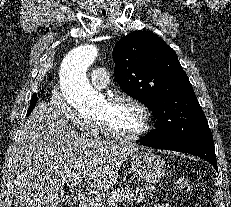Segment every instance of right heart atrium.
Instances as JSON below:
<instances>
[{
    "label": "right heart atrium",
    "mask_w": 231,
    "mask_h": 207,
    "mask_svg": "<svg viewBox=\"0 0 231 207\" xmlns=\"http://www.w3.org/2000/svg\"><path fill=\"white\" fill-rule=\"evenodd\" d=\"M51 106L58 117L84 134H91V121L76 111L63 97L60 91L51 94Z\"/></svg>",
    "instance_id": "1"
}]
</instances>
